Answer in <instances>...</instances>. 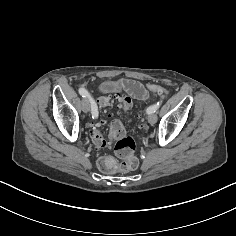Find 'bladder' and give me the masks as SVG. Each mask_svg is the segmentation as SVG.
I'll return each instance as SVG.
<instances>
[{
	"mask_svg": "<svg viewBox=\"0 0 236 236\" xmlns=\"http://www.w3.org/2000/svg\"><path fill=\"white\" fill-rule=\"evenodd\" d=\"M100 88L102 91L107 92V93H111L114 90L109 80L103 81L100 85Z\"/></svg>",
	"mask_w": 236,
	"mask_h": 236,
	"instance_id": "1",
	"label": "bladder"
}]
</instances>
